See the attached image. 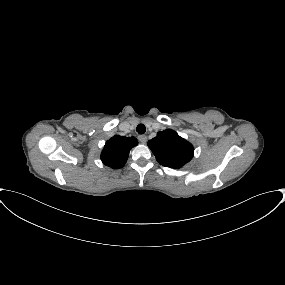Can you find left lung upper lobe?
<instances>
[{
  "label": "left lung upper lobe",
  "mask_w": 285,
  "mask_h": 285,
  "mask_svg": "<svg viewBox=\"0 0 285 285\" xmlns=\"http://www.w3.org/2000/svg\"><path fill=\"white\" fill-rule=\"evenodd\" d=\"M156 160L163 166L181 168L193 157V146L171 129L158 132L148 141Z\"/></svg>",
  "instance_id": "5c2ea615"
}]
</instances>
